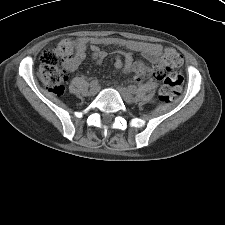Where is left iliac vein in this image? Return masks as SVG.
<instances>
[{"label":"left iliac vein","instance_id":"left-iliac-vein-1","mask_svg":"<svg viewBox=\"0 0 225 225\" xmlns=\"http://www.w3.org/2000/svg\"><path fill=\"white\" fill-rule=\"evenodd\" d=\"M118 90L120 91L121 96L124 99V101H126L127 103H133L134 98L128 88L119 86Z\"/></svg>","mask_w":225,"mask_h":225}]
</instances>
